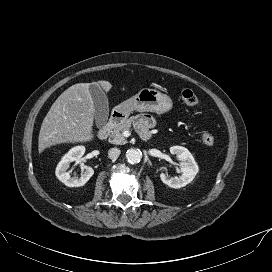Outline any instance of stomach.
I'll use <instances>...</instances> for the list:
<instances>
[{"mask_svg": "<svg viewBox=\"0 0 272 272\" xmlns=\"http://www.w3.org/2000/svg\"><path fill=\"white\" fill-rule=\"evenodd\" d=\"M124 116L134 111L166 113L173 108L172 99L156 89L142 88L136 95L116 107Z\"/></svg>", "mask_w": 272, "mask_h": 272, "instance_id": "0dacf381", "label": "stomach"}]
</instances>
